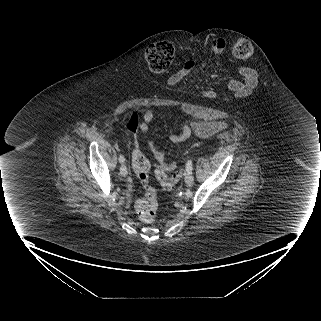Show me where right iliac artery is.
I'll list each match as a JSON object with an SVG mask.
<instances>
[{
    "mask_svg": "<svg viewBox=\"0 0 321 321\" xmlns=\"http://www.w3.org/2000/svg\"><path fill=\"white\" fill-rule=\"evenodd\" d=\"M124 161H125L124 156L120 155V157H119V162H120V163H123Z\"/></svg>",
    "mask_w": 321,
    "mask_h": 321,
    "instance_id": "right-iliac-artery-1",
    "label": "right iliac artery"
}]
</instances>
